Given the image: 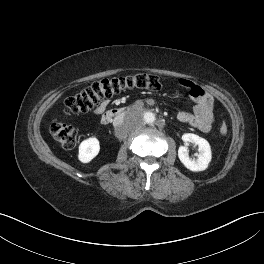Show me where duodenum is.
I'll use <instances>...</instances> for the list:
<instances>
[{
    "label": "duodenum",
    "instance_id": "duodenum-1",
    "mask_svg": "<svg viewBox=\"0 0 264 264\" xmlns=\"http://www.w3.org/2000/svg\"><path fill=\"white\" fill-rule=\"evenodd\" d=\"M125 112H126V108L124 107L111 108L103 114L101 121L103 124H107L111 122L114 119V117L121 116Z\"/></svg>",
    "mask_w": 264,
    "mask_h": 264
}]
</instances>
